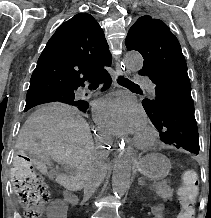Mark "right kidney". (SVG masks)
Here are the masks:
<instances>
[{"label": "right kidney", "instance_id": "ca27d5eb", "mask_svg": "<svg viewBox=\"0 0 211 218\" xmlns=\"http://www.w3.org/2000/svg\"><path fill=\"white\" fill-rule=\"evenodd\" d=\"M52 206H47L46 214L51 218H66L67 206H61V201H52Z\"/></svg>", "mask_w": 211, "mask_h": 218}]
</instances>
